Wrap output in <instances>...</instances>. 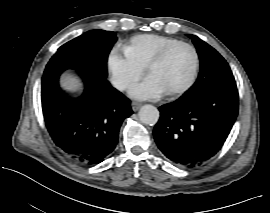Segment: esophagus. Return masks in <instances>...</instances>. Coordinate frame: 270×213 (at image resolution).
<instances>
[{"label":"esophagus","instance_id":"34e87169","mask_svg":"<svg viewBox=\"0 0 270 213\" xmlns=\"http://www.w3.org/2000/svg\"><path fill=\"white\" fill-rule=\"evenodd\" d=\"M131 106H132L133 111H137L141 107V104L138 102H132Z\"/></svg>","mask_w":270,"mask_h":213}]
</instances>
